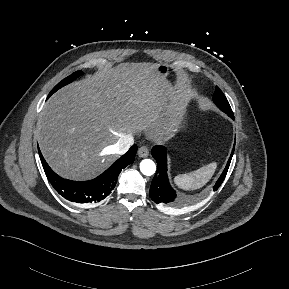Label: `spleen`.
<instances>
[{"label":"spleen","instance_id":"3e777b00","mask_svg":"<svg viewBox=\"0 0 289 289\" xmlns=\"http://www.w3.org/2000/svg\"><path fill=\"white\" fill-rule=\"evenodd\" d=\"M216 168L217 163L212 162L191 173L176 176L174 178V183L181 189H198L210 180Z\"/></svg>","mask_w":289,"mask_h":289}]
</instances>
